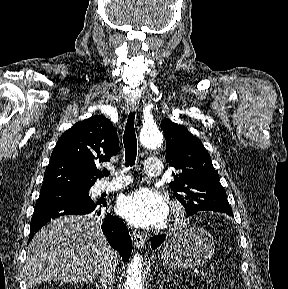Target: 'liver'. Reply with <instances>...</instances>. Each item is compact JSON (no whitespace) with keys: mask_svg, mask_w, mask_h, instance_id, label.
I'll return each instance as SVG.
<instances>
[{"mask_svg":"<svg viewBox=\"0 0 288 289\" xmlns=\"http://www.w3.org/2000/svg\"><path fill=\"white\" fill-rule=\"evenodd\" d=\"M119 255L90 215H68L44 226L27 251L25 277L29 287L51 280L91 282Z\"/></svg>","mask_w":288,"mask_h":289,"instance_id":"liver-1","label":"liver"}]
</instances>
